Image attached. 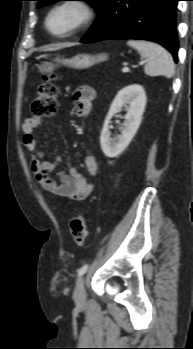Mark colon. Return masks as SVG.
Segmentation results:
<instances>
[{"label": "colon", "mask_w": 193, "mask_h": 349, "mask_svg": "<svg viewBox=\"0 0 193 349\" xmlns=\"http://www.w3.org/2000/svg\"><path fill=\"white\" fill-rule=\"evenodd\" d=\"M55 75L50 74L44 77L39 85L32 105L34 118L42 119L52 117L58 109L57 87ZM70 230L74 242L78 246H83L88 237V230L85 218L82 214L76 215L70 223Z\"/></svg>", "instance_id": "obj_1"}]
</instances>
